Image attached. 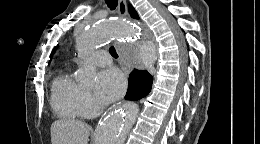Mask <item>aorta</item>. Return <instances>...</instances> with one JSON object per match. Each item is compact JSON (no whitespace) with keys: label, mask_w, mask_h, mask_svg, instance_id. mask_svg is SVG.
Wrapping results in <instances>:
<instances>
[{"label":"aorta","mask_w":260,"mask_h":144,"mask_svg":"<svg viewBox=\"0 0 260 144\" xmlns=\"http://www.w3.org/2000/svg\"><path fill=\"white\" fill-rule=\"evenodd\" d=\"M115 38H130L133 43L139 36L131 23L118 20H105L76 34V48L83 59L77 79L85 86H93L96 80V69L89 59L90 55L97 45L107 44ZM126 54L132 61L138 56L133 45L126 49ZM143 62L148 65L150 60L143 58ZM138 112L135 103L127 102L109 113L99 123L95 144H125Z\"/></svg>","instance_id":"762f6f07"}]
</instances>
